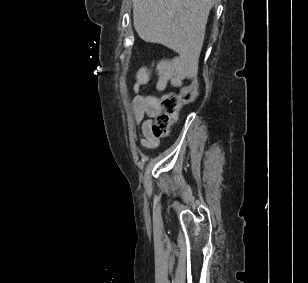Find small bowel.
<instances>
[{
	"label": "small bowel",
	"instance_id": "1",
	"mask_svg": "<svg viewBox=\"0 0 308 283\" xmlns=\"http://www.w3.org/2000/svg\"><path fill=\"white\" fill-rule=\"evenodd\" d=\"M157 91H165L169 86L179 87L184 80L193 77L195 73V61L188 58L173 57L158 61L155 66ZM152 78V72L148 68H140L135 76L133 90L134 119L141 128L142 138L139 139V146L144 149H155L159 146L160 140L151 132L152 119L158 114L155 105V98L146 96L140 92L142 86L147 85Z\"/></svg>",
	"mask_w": 308,
	"mask_h": 283
}]
</instances>
